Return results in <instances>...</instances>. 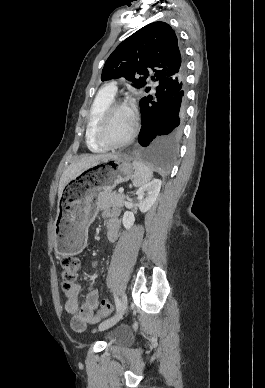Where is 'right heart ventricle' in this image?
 <instances>
[{
	"instance_id": "right-heart-ventricle-1",
	"label": "right heart ventricle",
	"mask_w": 265,
	"mask_h": 388,
	"mask_svg": "<svg viewBox=\"0 0 265 388\" xmlns=\"http://www.w3.org/2000/svg\"><path fill=\"white\" fill-rule=\"evenodd\" d=\"M115 90L114 91H101L99 96L94 101L87 122L86 129V141L89 148L93 151L99 152L104 151L106 148L100 145L94 136V128L96 120L101 111L110 103L114 102Z\"/></svg>"
}]
</instances>
